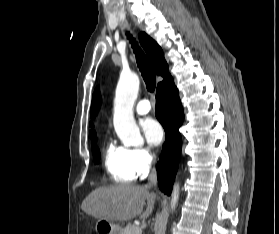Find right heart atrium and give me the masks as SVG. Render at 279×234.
Segmentation results:
<instances>
[{
  "instance_id": "obj_1",
  "label": "right heart atrium",
  "mask_w": 279,
  "mask_h": 234,
  "mask_svg": "<svg viewBox=\"0 0 279 234\" xmlns=\"http://www.w3.org/2000/svg\"><path fill=\"white\" fill-rule=\"evenodd\" d=\"M132 162L138 175L147 173L153 166L155 153L149 146H139L131 149Z\"/></svg>"
}]
</instances>
